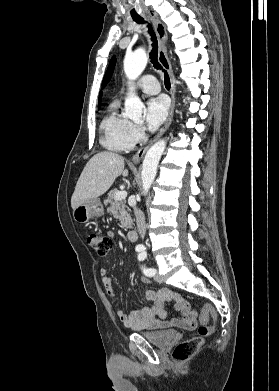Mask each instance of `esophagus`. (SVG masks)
Segmentation results:
<instances>
[{"label":"esophagus","instance_id":"obj_1","mask_svg":"<svg viewBox=\"0 0 279 391\" xmlns=\"http://www.w3.org/2000/svg\"><path fill=\"white\" fill-rule=\"evenodd\" d=\"M150 18L153 22L157 37H158V61L159 63L163 66V68L168 72V74L171 77V97H172V104L169 110V115L167 117V120L163 127L160 129L158 134L155 136L154 140L150 142L147 146L141 148L136 154L133 155L131 160L133 162H139L149 146L156 141L159 137H161L164 132L169 128L172 120H173V115H174V108H175V93H176V85L174 81L172 80L173 77V71H172V66L170 63V60L167 55V48H166V41H167V32L165 25L161 22V20L157 17V14L151 13Z\"/></svg>","mask_w":279,"mask_h":391}]
</instances>
